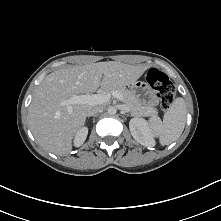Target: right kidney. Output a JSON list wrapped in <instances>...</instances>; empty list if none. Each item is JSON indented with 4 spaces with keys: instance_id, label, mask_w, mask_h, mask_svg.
<instances>
[{
    "instance_id": "1",
    "label": "right kidney",
    "mask_w": 221,
    "mask_h": 221,
    "mask_svg": "<svg viewBox=\"0 0 221 221\" xmlns=\"http://www.w3.org/2000/svg\"><path fill=\"white\" fill-rule=\"evenodd\" d=\"M87 134H88L87 127L80 128L75 135L74 146H76V147L81 146L84 143V141L87 137Z\"/></svg>"
}]
</instances>
